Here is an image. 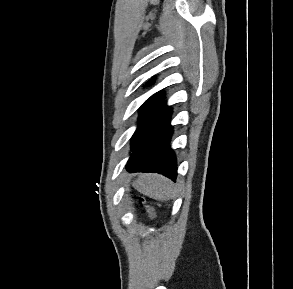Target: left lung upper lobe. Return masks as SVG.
<instances>
[{"label": "left lung upper lobe", "instance_id": "5c2ea615", "mask_svg": "<svg viewBox=\"0 0 293 289\" xmlns=\"http://www.w3.org/2000/svg\"><path fill=\"white\" fill-rule=\"evenodd\" d=\"M153 82V80H150L149 83ZM163 99V93L162 92H158L156 94H154L153 96H151L141 107L140 112V118L147 113L148 111H150L153 107H155L161 100Z\"/></svg>", "mask_w": 293, "mask_h": 289}]
</instances>
